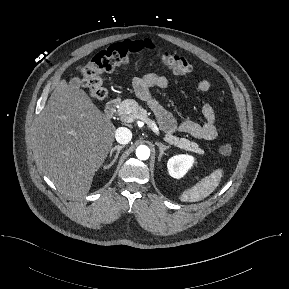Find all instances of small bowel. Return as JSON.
Returning a JSON list of instances; mask_svg holds the SVG:
<instances>
[{"label":"small bowel","instance_id":"c3829d8e","mask_svg":"<svg viewBox=\"0 0 289 289\" xmlns=\"http://www.w3.org/2000/svg\"><path fill=\"white\" fill-rule=\"evenodd\" d=\"M169 85V80L165 76H159L154 73L145 74L137 77L134 82V90L137 96L147 101L154 112L156 113L162 127L168 131L173 132L179 130L185 132L194 138L203 140H213L217 137L218 132L215 125V111L208 103H204L201 111L205 121L198 123L196 121L187 119L178 123L170 112H168L161 104H159L152 96L151 90L153 88L166 89ZM197 89L200 92H207L211 89L209 80H200L197 84Z\"/></svg>","mask_w":289,"mask_h":289}]
</instances>
